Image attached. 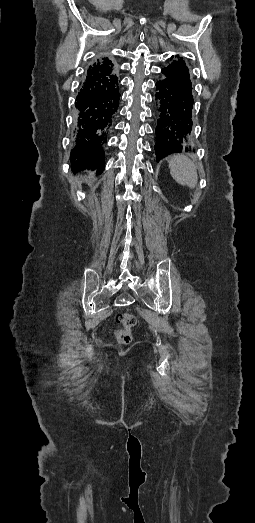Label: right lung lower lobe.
I'll return each mask as SVG.
<instances>
[{"label": "right lung lower lobe", "instance_id": "right-lung-lower-lobe-1", "mask_svg": "<svg viewBox=\"0 0 255 523\" xmlns=\"http://www.w3.org/2000/svg\"><path fill=\"white\" fill-rule=\"evenodd\" d=\"M100 107V98L98 96H91L89 98V101L82 100L79 102V111L82 113H85L86 118L84 119L83 123V135L87 138H90L94 135V130H96L99 127V121L96 118L98 116V113L96 111L92 112V109H98ZM92 112V113H91ZM83 151L86 153H91L94 151V141L91 139H86L83 141ZM104 167H101L100 171L101 173L104 170ZM72 169H75L72 166ZM100 173V174H101Z\"/></svg>", "mask_w": 255, "mask_h": 523}]
</instances>
